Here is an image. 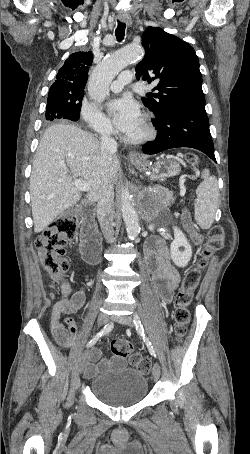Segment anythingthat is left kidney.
Wrapping results in <instances>:
<instances>
[{
  "label": "left kidney",
  "instance_id": "left-kidney-1",
  "mask_svg": "<svg viewBox=\"0 0 250 454\" xmlns=\"http://www.w3.org/2000/svg\"><path fill=\"white\" fill-rule=\"evenodd\" d=\"M174 240L170 245L172 261L178 267H185L192 257V248L184 233L176 226H173Z\"/></svg>",
  "mask_w": 250,
  "mask_h": 454
}]
</instances>
